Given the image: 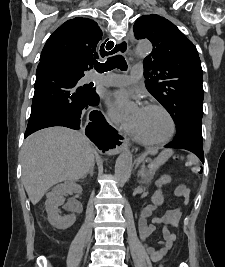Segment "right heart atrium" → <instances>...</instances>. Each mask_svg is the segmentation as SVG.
I'll return each instance as SVG.
<instances>
[{"label":"right heart atrium","mask_w":225,"mask_h":267,"mask_svg":"<svg viewBox=\"0 0 225 267\" xmlns=\"http://www.w3.org/2000/svg\"><path fill=\"white\" fill-rule=\"evenodd\" d=\"M107 120L108 122L113 125L115 128L121 130V131H131L132 127L129 123L121 121L117 115L109 110L107 113Z\"/></svg>","instance_id":"1"}]
</instances>
